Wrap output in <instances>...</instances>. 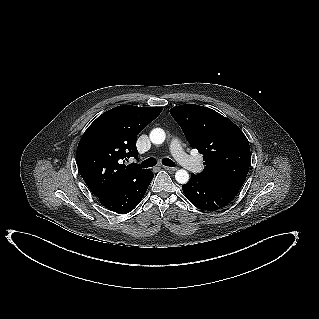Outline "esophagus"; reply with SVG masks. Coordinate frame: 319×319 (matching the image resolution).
<instances>
[{
    "instance_id": "obj_1",
    "label": "esophagus",
    "mask_w": 319,
    "mask_h": 319,
    "mask_svg": "<svg viewBox=\"0 0 319 319\" xmlns=\"http://www.w3.org/2000/svg\"><path fill=\"white\" fill-rule=\"evenodd\" d=\"M163 168H164L165 170H168V171H176V170H177L176 167L163 166Z\"/></svg>"
}]
</instances>
